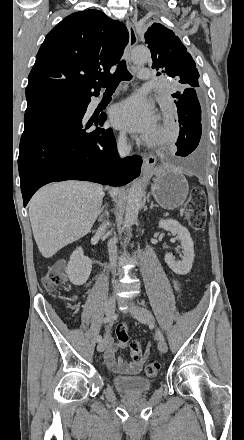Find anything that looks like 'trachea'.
<instances>
[{"label":"trachea","instance_id":"trachea-1","mask_svg":"<svg viewBox=\"0 0 244 440\" xmlns=\"http://www.w3.org/2000/svg\"><path fill=\"white\" fill-rule=\"evenodd\" d=\"M132 75L128 72L126 62L123 60L119 63L116 72L112 77L104 80H99L98 83L101 87L106 88V92L114 91L122 80H131Z\"/></svg>","mask_w":244,"mask_h":440}]
</instances>
